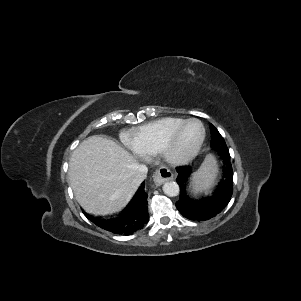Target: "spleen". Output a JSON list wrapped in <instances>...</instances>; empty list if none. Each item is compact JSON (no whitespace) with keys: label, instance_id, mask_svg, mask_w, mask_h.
Instances as JSON below:
<instances>
[{"label":"spleen","instance_id":"1","mask_svg":"<svg viewBox=\"0 0 301 301\" xmlns=\"http://www.w3.org/2000/svg\"><path fill=\"white\" fill-rule=\"evenodd\" d=\"M217 170L215 158L211 155L207 156L200 169L193 174L194 193L209 189L215 179Z\"/></svg>","mask_w":301,"mask_h":301}]
</instances>
